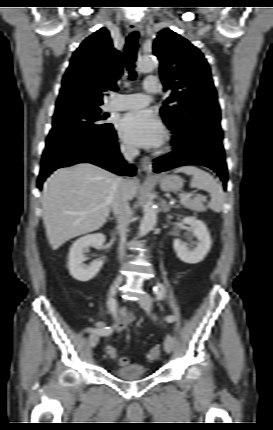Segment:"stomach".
Instances as JSON below:
<instances>
[{"label":"stomach","instance_id":"stomach-1","mask_svg":"<svg viewBox=\"0 0 273 430\" xmlns=\"http://www.w3.org/2000/svg\"><path fill=\"white\" fill-rule=\"evenodd\" d=\"M160 188L164 191H179L183 186L182 179L177 175H161L156 177Z\"/></svg>","mask_w":273,"mask_h":430}]
</instances>
